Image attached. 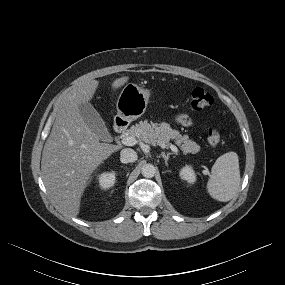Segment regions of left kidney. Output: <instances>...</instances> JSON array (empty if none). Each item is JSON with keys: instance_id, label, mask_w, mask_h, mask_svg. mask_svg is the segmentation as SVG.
<instances>
[{"instance_id": "1", "label": "left kidney", "mask_w": 285, "mask_h": 285, "mask_svg": "<svg viewBox=\"0 0 285 285\" xmlns=\"http://www.w3.org/2000/svg\"><path fill=\"white\" fill-rule=\"evenodd\" d=\"M180 178L182 180L187 181L190 184H194L196 182V174L193 168L189 165L183 167L179 172Z\"/></svg>"}]
</instances>
